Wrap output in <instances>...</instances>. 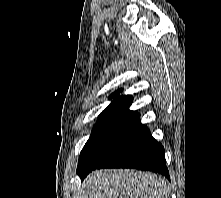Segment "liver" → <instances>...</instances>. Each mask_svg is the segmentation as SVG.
Here are the masks:
<instances>
[{
  "mask_svg": "<svg viewBox=\"0 0 221 198\" xmlns=\"http://www.w3.org/2000/svg\"><path fill=\"white\" fill-rule=\"evenodd\" d=\"M89 198H168L164 178L128 169L96 170L86 179Z\"/></svg>",
  "mask_w": 221,
  "mask_h": 198,
  "instance_id": "1",
  "label": "liver"
}]
</instances>
